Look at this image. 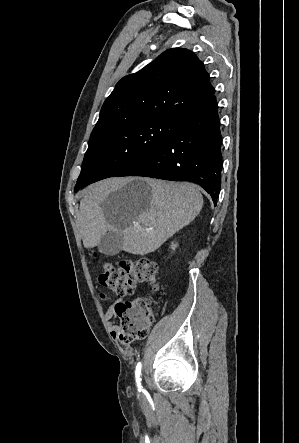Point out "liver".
<instances>
[{"label":"liver","mask_w":299,"mask_h":443,"mask_svg":"<svg viewBox=\"0 0 299 443\" xmlns=\"http://www.w3.org/2000/svg\"><path fill=\"white\" fill-rule=\"evenodd\" d=\"M202 206L203 197L193 184L109 178L84 190L79 207L83 244L90 249L106 233H120L125 252L146 255L189 225Z\"/></svg>","instance_id":"obj_1"}]
</instances>
